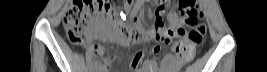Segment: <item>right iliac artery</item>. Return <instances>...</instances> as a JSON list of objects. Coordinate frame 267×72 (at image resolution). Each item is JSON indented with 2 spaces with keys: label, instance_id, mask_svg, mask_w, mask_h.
I'll return each instance as SVG.
<instances>
[{
  "label": "right iliac artery",
  "instance_id": "1",
  "mask_svg": "<svg viewBox=\"0 0 267 72\" xmlns=\"http://www.w3.org/2000/svg\"><path fill=\"white\" fill-rule=\"evenodd\" d=\"M142 5H143V1L142 0L137 1L135 6H134V9L132 11L131 16H134L139 11V9L141 8ZM94 65H95V63L91 62L90 65H89V69H92V67H94Z\"/></svg>",
  "mask_w": 267,
  "mask_h": 72
}]
</instances>
